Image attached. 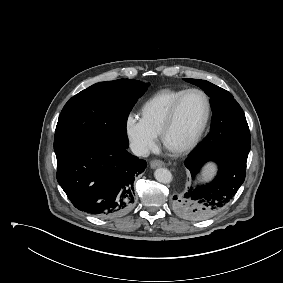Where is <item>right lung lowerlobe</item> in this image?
Returning a JSON list of instances; mask_svg holds the SVG:
<instances>
[{"mask_svg":"<svg viewBox=\"0 0 283 283\" xmlns=\"http://www.w3.org/2000/svg\"><path fill=\"white\" fill-rule=\"evenodd\" d=\"M57 157V180L72 204L99 217L126 213L135 201L134 179L146 161L105 139L78 143Z\"/></svg>","mask_w":283,"mask_h":283,"instance_id":"right-lung-lower-lobe-1","label":"right lung lower lobe"}]
</instances>
